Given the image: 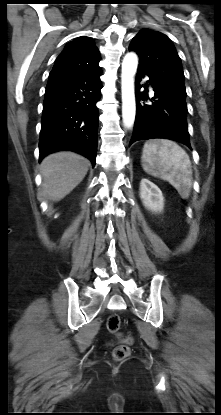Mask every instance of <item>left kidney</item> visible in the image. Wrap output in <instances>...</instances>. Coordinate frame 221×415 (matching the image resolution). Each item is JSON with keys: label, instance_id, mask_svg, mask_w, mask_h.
<instances>
[{"label": "left kidney", "instance_id": "obj_1", "mask_svg": "<svg viewBox=\"0 0 221 415\" xmlns=\"http://www.w3.org/2000/svg\"><path fill=\"white\" fill-rule=\"evenodd\" d=\"M140 197L144 206L152 212H161L164 207V197L161 190L148 179L140 183Z\"/></svg>", "mask_w": 221, "mask_h": 415}]
</instances>
